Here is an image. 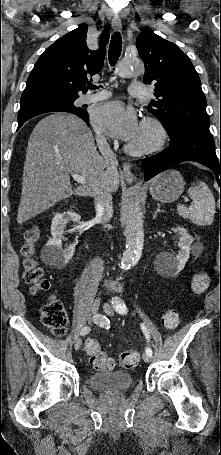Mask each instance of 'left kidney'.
<instances>
[{
    "label": "left kidney",
    "instance_id": "5707ae66",
    "mask_svg": "<svg viewBox=\"0 0 221 455\" xmlns=\"http://www.w3.org/2000/svg\"><path fill=\"white\" fill-rule=\"evenodd\" d=\"M172 231L179 235L178 246L180 250L174 256L168 252H161L156 256L155 264L158 270L164 273H179L190 257V246L194 241L193 237L183 227L172 228Z\"/></svg>",
    "mask_w": 221,
    "mask_h": 455
}]
</instances>
